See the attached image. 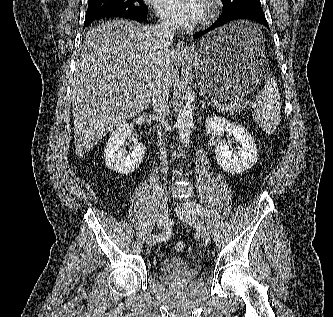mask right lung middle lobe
Here are the masks:
<instances>
[{
  "instance_id": "right-lung-middle-lobe-1",
  "label": "right lung middle lobe",
  "mask_w": 333,
  "mask_h": 317,
  "mask_svg": "<svg viewBox=\"0 0 333 317\" xmlns=\"http://www.w3.org/2000/svg\"><path fill=\"white\" fill-rule=\"evenodd\" d=\"M147 11L143 0H88L86 15L106 12L132 13Z\"/></svg>"
}]
</instances>
